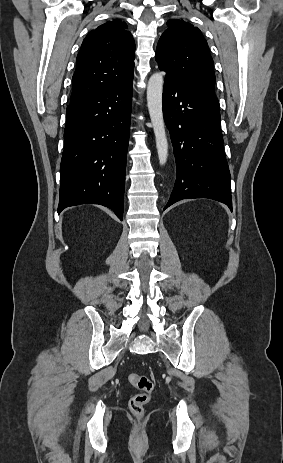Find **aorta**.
I'll list each match as a JSON object with an SVG mask.
<instances>
[{"label":"aorta","mask_w":283,"mask_h":463,"mask_svg":"<svg viewBox=\"0 0 283 463\" xmlns=\"http://www.w3.org/2000/svg\"><path fill=\"white\" fill-rule=\"evenodd\" d=\"M163 74L154 73L147 85V106L153 131L160 165H165L168 157V141L162 112Z\"/></svg>","instance_id":"obj_1"}]
</instances>
